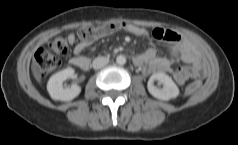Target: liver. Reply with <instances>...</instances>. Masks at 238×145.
Listing matches in <instances>:
<instances>
[{
	"mask_svg": "<svg viewBox=\"0 0 238 145\" xmlns=\"http://www.w3.org/2000/svg\"><path fill=\"white\" fill-rule=\"evenodd\" d=\"M31 68H32V73H33L36 81L38 83H40L41 82V74H40V71H39V65H38V63L36 62L35 59L32 60Z\"/></svg>",
	"mask_w": 238,
	"mask_h": 145,
	"instance_id": "6515ba94",
	"label": "liver"
}]
</instances>
